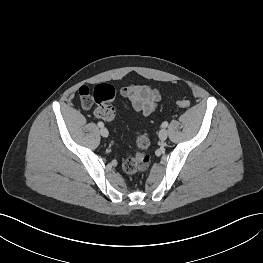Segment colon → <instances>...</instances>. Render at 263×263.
Segmentation results:
<instances>
[{"instance_id":"1","label":"colon","mask_w":263,"mask_h":263,"mask_svg":"<svg viewBox=\"0 0 263 263\" xmlns=\"http://www.w3.org/2000/svg\"><path fill=\"white\" fill-rule=\"evenodd\" d=\"M79 100L84 107L96 104V115L106 121L115 117V108L111 104L115 95V90L111 85L100 84L92 91L86 85L79 88ZM178 106L186 108L190 105L189 100L180 99ZM150 146V139L146 134H141L136 139L137 152L134 156L128 157L123 161L122 168L127 174H137L147 170L151 164V155L146 152Z\"/></svg>"}]
</instances>
